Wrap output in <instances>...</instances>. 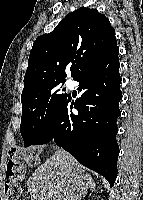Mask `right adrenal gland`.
I'll use <instances>...</instances> for the list:
<instances>
[{
	"mask_svg": "<svg viewBox=\"0 0 143 200\" xmlns=\"http://www.w3.org/2000/svg\"><path fill=\"white\" fill-rule=\"evenodd\" d=\"M88 184H89V187L83 192V194H82V196L79 198V200H82V198H84V197L86 196L88 190H90V191H95V189H96V184H95L94 180H93V179H90L89 182H88Z\"/></svg>",
	"mask_w": 143,
	"mask_h": 200,
	"instance_id": "2a0ac1e0",
	"label": "right adrenal gland"
}]
</instances>
